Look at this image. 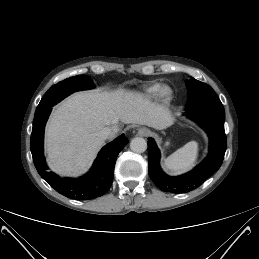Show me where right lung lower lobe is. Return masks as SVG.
Masks as SVG:
<instances>
[{"instance_id": "right-lung-lower-lobe-1", "label": "right lung lower lobe", "mask_w": 259, "mask_h": 259, "mask_svg": "<svg viewBox=\"0 0 259 259\" xmlns=\"http://www.w3.org/2000/svg\"><path fill=\"white\" fill-rule=\"evenodd\" d=\"M52 107L35 113L31 134V153L39 175L60 194L76 199L91 200L105 194L114 177L116 158L128 143L124 134L107 144L99 152L90 172L79 179H61L47 171L43 154L44 127Z\"/></svg>"}]
</instances>
